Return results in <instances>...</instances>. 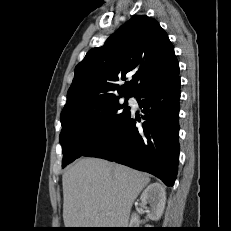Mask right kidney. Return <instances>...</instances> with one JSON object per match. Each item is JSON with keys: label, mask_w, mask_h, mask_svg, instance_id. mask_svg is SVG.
<instances>
[{"label": "right kidney", "mask_w": 231, "mask_h": 231, "mask_svg": "<svg viewBox=\"0 0 231 231\" xmlns=\"http://www.w3.org/2000/svg\"><path fill=\"white\" fill-rule=\"evenodd\" d=\"M140 200L143 206L149 203L150 207L146 210L147 216L149 219L157 221L161 218L166 204L165 188L159 183L150 184L141 194ZM139 222L138 215L133 214L129 227L137 228Z\"/></svg>", "instance_id": "obj_1"}]
</instances>
